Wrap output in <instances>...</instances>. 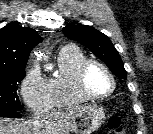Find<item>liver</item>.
Returning <instances> with one entry per match:
<instances>
[{
	"mask_svg": "<svg viewBox=\"0 0 153 134\" xmlns=\"http://www.w3.org/2000/svg\"><path fill=\"white\" fill-rule=\"evenodd\" d=\"M82 108H69L46 117L19 121L0 118V134H68L75 116Z\"/></svg>",
	"mask_w": 153,
	"mask_h": 134,
	"instance_id": "1",
	"label": "liver"
}]
</instances>
